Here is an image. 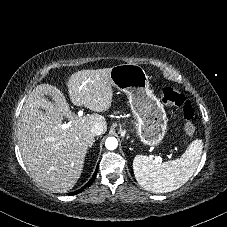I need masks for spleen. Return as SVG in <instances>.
<instances>
[{
	"label": "spleen",
	"instance_id": "spleen-1",
	"mask_svg": "<svg viewBox=\"0 0 227 227\" xmlns=\"http://www.w3.org/2000/svg\"><path fill=\"white\" fill-rule=\"evenodd\" d=\"M203 150L202 140L191 142L178 159L160 163L145 155H136L133 170L138 184L153 193H167L184 185L196 171Z\"/></svg>",
	"mask_w": 227,
	"mask_h": 227
}]
</instances>
